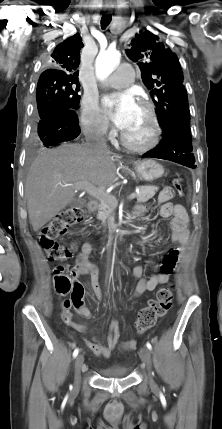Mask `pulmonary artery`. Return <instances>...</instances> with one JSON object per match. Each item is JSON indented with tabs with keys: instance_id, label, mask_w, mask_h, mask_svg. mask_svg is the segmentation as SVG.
<instances>
[{
	"instance_id": "obj_1",
	"label": "pulmonary artery",
	"mask_w": 222,
	"mask_h": 429,
	"mask_svg": "<svg viewBox=\"0 0 222 429\" xmlns=\"http://www.w3.org/2000/svg\"><path fill=\"white\" fill-rule=\"evenodd\" d=\"M134 75L135 71L133 66L129 63H124L108 77L107 83L114 88H122L133 81Z\"/></svg>"
}]
</instances>
